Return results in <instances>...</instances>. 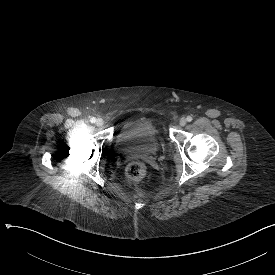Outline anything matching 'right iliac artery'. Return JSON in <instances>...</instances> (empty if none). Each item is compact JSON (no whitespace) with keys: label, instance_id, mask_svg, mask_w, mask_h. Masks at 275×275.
Listing matches in <instances>:
<instances>
[{"label":"right iliac artery","instance_id":"obj_1","mask_svg":"<svg viewBox=\"0 0 275 275\" xmlns=\"http://www.w3.org/2000/svg\"><path fill=\"white\" fill-rule=\"evenodd\" d=\"M90 122L91 123H95L96 122V118L95 117H91Z\"/></svg>","mask_w":275,"mask_h":275}]
</instances>
